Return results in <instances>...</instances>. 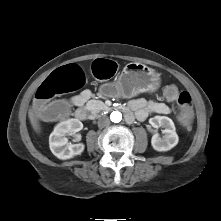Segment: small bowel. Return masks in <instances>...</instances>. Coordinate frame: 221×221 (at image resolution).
Returning <instances> with one entry per match:
<instances>
[{
    "mask_svg": "<svg viewBox=\"0 0 221 221\" xmlns=\"http://www.w3.org/2000/svg\"><path fill=\"white\" fill-rule=\"evenodd\" d=\"M91 96L90 90H84L71 98V104L78 107L83 106ZM128 107L134 111L136 118L140 121H144L153 113L166 115L171 112L170 107L166 103L142 98L131 100Z\"/></svg>",
    "mask_w": 221,
    "mask_h": 221,
    "instance_id": "c3829d8e",
    "label": "small bowel"
}]
</instances>
